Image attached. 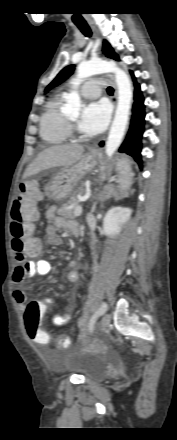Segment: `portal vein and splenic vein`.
I'll return each instance as SVG.
<instances>
[{
	"mask_svg": "<svg viewBox=\"0 0 177 440\" xmlns=\"http://www.w3.org/2000/svg\"><path fill=\"white\" fill-rule=\"evenodd\" d=\"M81 199L85 200V197H82ZM81 213H82V207H81V206H78V207L75 209V215H76V216H80Z\"/></svg>",
	"mask_w": 177,
	"mask_h": 440,
	"instance_id": "18ae733b",
	"label": "portal vein and splenic vein"
}]
</instances>
